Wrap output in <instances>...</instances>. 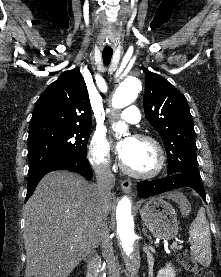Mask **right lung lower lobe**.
I'll return each mask as SVG.
<instances>
[{
  "label": "right lung lower lobe",
  "instance_id": "right-lung-lower-lobe-1",
  "mask_svg": "<svg viewBox=\"0 0 221 277\" xmlns=\"http://www.w3.org/2000/svg\"><path fill=\"white\" fill-rule=\"evenodd\" d=\"M55 170H69L76 172L85 177L87 180L92 178V169L85 156H75L59 162L47 164L40 167L34 173L28 175L27 195L25 201H27L31 196L42 177Z\"/></svg>",
  "mask_w": 221,
  "mask_h": 277
}]
</instances>
